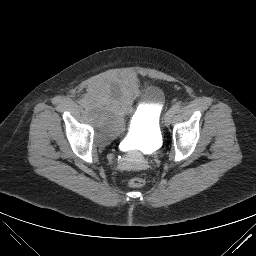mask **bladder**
Returning <instances> with one entry per match:
<instances>
[{"label": "bladder", "mask_w": 256, "mask_h": 256, "mask_svg": "<svg viewBox=\"0 0 256 256\" xmlns=\"http://www.w3.org/2000/svg\"><path fill=\"white\" fill-rule=\"evenodd\" d=\"M139 98L145 103L127 135L148 147L158 144L160 116L165 103L163 90L152 85L142 88L136 79L117 75L99 79L85 97V108L98 142L110 143L124 133L125 115Z\"/></svg>", "instance_id": "obj_1"}]
</instances>
